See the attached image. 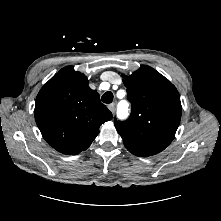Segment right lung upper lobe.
<instances>
[{
  "instance_id": "right-lung-upper-lobe-1",
  "label": "right lung upper lobe",
  "mask_w": 221,
  "mask_h": 221,
  "mask_svg": "<svg viewBox=\"0 0 221 221\" xmlns=\"http://www.w3.org/2000/svg\"><path fill=\"white\" fill-rule=\"evenodd\" d=\"M34 115L47 143L68 155L86 150L100 125L112 119L98 92L88 86L86 76L72 66L61 69L41 88Z\"/></svg>"
}]
</instances>
